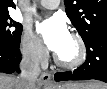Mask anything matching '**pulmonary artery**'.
I'll list each match as a JSON object with an SVG mask.
<instances>
[{
	"instance_id": "e3ab8cb5",
	"label": "pulmonary artery",
	"mask_w": 107,
	"mask_h": 89,
	"mask_svg": "<svg viewBox=\"0 0 107 89\" xmlns=\"http://www.w3.org/2000/svg\"><path fill=\"white\" fill-rule=\"evenodd\" d=\"M40 4L44 8L55 9L59 5V0H41Z\"/></svg>"
}]
</instances>
